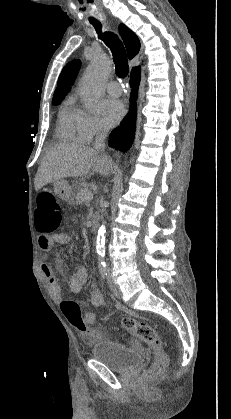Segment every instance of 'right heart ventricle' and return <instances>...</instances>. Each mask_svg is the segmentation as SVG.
Segmentation results:
<instances>
[{
  "instance_id": "e07e8e85",
  "label": "right heart ventricle",
  "mask_w": 231,
  "mask_h": 419,
  "mask_svg": "<svg viewBox=\"0 0 231 419\" xmlns=\"http://www.w3.org/2000/svg\"><path fill=\"white\" fill-rule=\"evenodd\" d=\"M85 114L78 109L72 99H67L59 111L57 135L60 139L71 143H85L83 119Z\"/></svg>"
}]
</instances>
